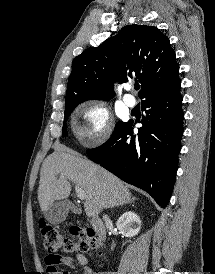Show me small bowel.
Masks as SVG:
<instances>
[{"mask_svg":"<svg viewBox=\"0 0 215 274\" xmlns=\"http://www.w3.org/2000/svg\"><path fill=\"white\" fill-rule=\"evenodd\" d=\"M75 263L83 268L84 274H106L105 272L94 271L93 268L88 265L87 257L82 253H76L73 257L57 254H48L45 257L46 272H49V274H69L68 272L59 271L58 266H71Z\"/></svg>","mask_w":215,"mask_h":274,"instance_id":"small-bowel-1","label":"small bowel"}]
</instances>
